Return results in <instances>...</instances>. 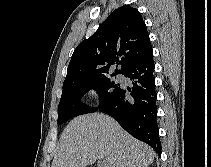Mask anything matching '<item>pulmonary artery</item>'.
<instances>
[{"mask_svg": "<svg viewBox=\"0 0 211 167\" xmlns=\"http://www.w3.org/2000/svg\"><path fill=\"white\" fill-rule=\"evenodd\" d=\"M118 78H119V79H123V77H122L121 75H118Z\"/></svg>", "mask_w": 211, "mask_h": 167, "instance_id": "pulmonary-artery-1", "label": "pulmonary artery"}]
</instances>
